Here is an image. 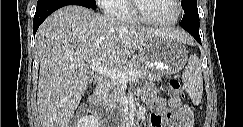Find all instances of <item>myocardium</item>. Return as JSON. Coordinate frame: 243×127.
Listing matches in <instances>:
<instances>
[{"mask_svg": "<svg viewBox=\"0 0 243 127\" xmlns=\"http://www.w3.org/2000/svg\"><path fill=\"white\" fill-rule=\"evenodd\" d=\"M141 1L142 0H131L132 14L137 18L139 22L149 24L152 26L169 27L175 25L182 16L183 8L180 0H173L177 9V14L173 19L169 21H158L146 16L141 9Z\"/></svg>", "mask_w": 243, "mask_h": 127, "instance_id": "1", "label": "myocardium"}]
</instances>
